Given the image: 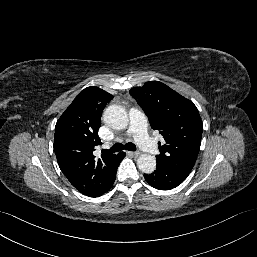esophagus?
Instances as JSON below:
<instances>
[{"mask_svg":"<svg viewBox=\"0 0 257 257\" xmlns=\"http://www.w3.org/2000/svg\"><path fill=\"white\" fill-rule=\"evenodd\" d=\"M133 157H139L141 155V152H131L130 153Z\"/></svg>","mask_w":257,"mask_h":257,"instance_id":"obj_1","label":"esophagus"}]
</instances>
